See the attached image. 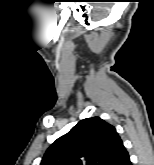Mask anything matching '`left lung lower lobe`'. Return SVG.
<instances>
[{"mask_svg": "<svg viewBox=\"0 0 154 165\" xmlns=\"http://www.w3.org/2000/svg\"><path fill=\"white\" fill-rule=\"evenodd\" d=\"M116 165H131L128 152L126 151L124 147L120 150L119 159Z\"/></svg>", "mask_w": 154, "mask_h": 165, "instance_id": "left-lung-lower-lobe-1", "label": "left lung lower lobe"}]
</instances>
